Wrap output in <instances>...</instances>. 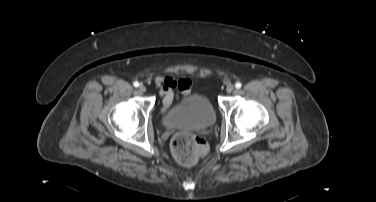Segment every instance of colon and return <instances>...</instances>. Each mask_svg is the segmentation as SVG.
<instances>
[{
	"instance_id": "5ec220e1",
	"label": "colon",
	"mask_w": 376,
	"mask_h": 202,
	"mask_svg": "<svg viewBox=\"0 0 376 202\" xmlns=\"http://www.w3.org/2000/svg\"><path fill=\"white\" fill-rule=\"evenodd\" d=\"M174 158L181 164H194L208 153V146L203 138L191 133H178L171 140Z\"/></svg>"
}]
</instances>
